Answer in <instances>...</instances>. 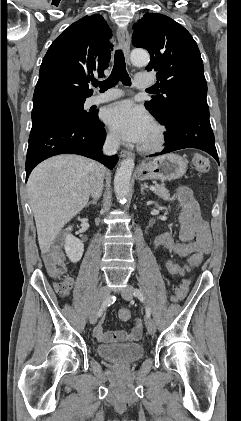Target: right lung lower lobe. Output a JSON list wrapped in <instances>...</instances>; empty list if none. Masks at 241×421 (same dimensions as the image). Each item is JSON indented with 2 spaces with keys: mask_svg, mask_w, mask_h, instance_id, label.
<instances>
[{
  "mask_svg": "<svg viewBox=\"0 0 241 421\" xmlns=\"http://www.w3.org/2000/svg\"><path fill=\"white\" fill-rule=\"evenodd\" d=\"M94 116L93 120L85 122L74 108L66 107L32 119L25 166L26 181L37 164L51 156L65 153L89 157L112 169L118 157L102 155L106 132L97 113Z\"/></svg>",
  "mask_w": 241,
  "mask_h": 421,
  "instance_id": "98d812e1",
  "label": "right lung lower lobe"
}]
</instances>
